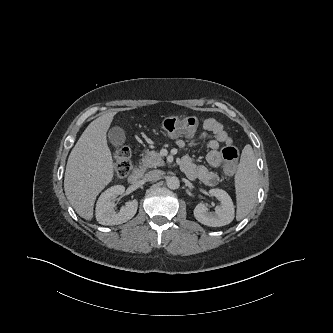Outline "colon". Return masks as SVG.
I'll list each match as a JSON object with an SVG mask.
<instances>
[{"instance_id": "colon-1", "label": "colon", "mask_w": 333, "mask_h": 333, "mask_svg": "<svg viewBox=\"0 0 333 333\" xmlns=\"http://www.w3.org/2000/svg\"><path fill=\"white\" fill-rule=\"evenodd\" d=\"M200 119L195 116L168 117L162 121L163 130L170 136L191 135L199 127ZM224 159V171L232 175L237 167L238 149L234 145H227L222 150ZM115 171L120 178L128 176L132 165L130 161V151L127 147H119L115 153Z\"/></svg>"}]
</instances>
